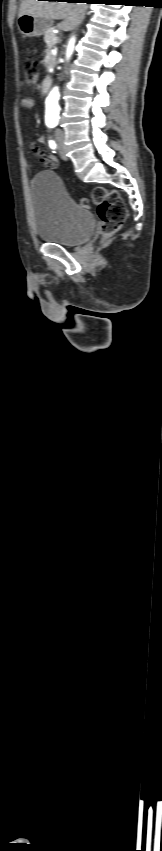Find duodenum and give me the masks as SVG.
Listing matches in <instances>:
<instances>
[{"label":"duodenum","mask_w":162,"mask_h":851,"mask_svg":"<svg viewBox=\"0 0 162 851\" xmlns=\"http://www.w3.org/2000/svg\"><path fill=\"white\" fill-rule=\"evenodd\" d=\"M52 84V80L49 77H45L41 82V91L43 93H48Z\"/></svg>","instance_id":"410a0bca"}]
</instances>
